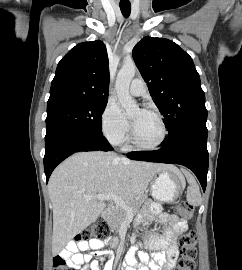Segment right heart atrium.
<instances>
[{
	"mask_svg": "<svg viewBox=\"0 0 242 270\" xmlns=\"http://www.w3.org/2000/svg\"><path fill=\"white\" fill-rule=\"evenodd\" d=\"M101 129L109 142L115 145L126 143L130 136V125L118 105L108 101L101 115Z\"/></svg>",
	"mask_w": 242,
	"mask_h": 270,
	"instance_id": "1",
	"label": "right heart atrium"
}]
</instances>
